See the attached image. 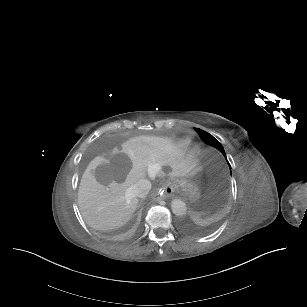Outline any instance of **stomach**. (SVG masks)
Masks as SVG:
<instances>
[{
  "label": "stomach",
  "instance_id": "obj_1",
  "mask_svg": "<svg viewBox=\"0 0 307 307\" xmlns=\"http://www.w3.org/2000/svg\"><path fill=\"white\" fill-rule=\"evenodd\" d=\"M172 183L183 193H192L196 189V174L190 173L187 176L173 178Z\"/></svg>",
  "mask_w": 307,
  "mask_h": 307
}]
</instances>
